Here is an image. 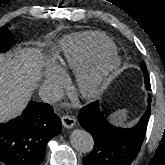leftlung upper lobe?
Returning a JSON list of instances; mask_svg holds the SVG:
<instances>
[{
  "label": "left lung upper lobe",
  "mask_w": 165,
  "mask_h": 165,
  "mask_svg": "<svg viewBox=\"0 0 165 165\" xmlns=\"http://www.w3.org/2000/svg\"><path fill=\"white\" fill-rule=\"evenodd\" d=\"M141 70L144 74L146 89L151 90L150 79H149L148 71H147V68H146L144 61H142V63H141Z\"/></svg>",
  "instance_id": "obj_1"
}]
</instances>
